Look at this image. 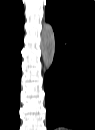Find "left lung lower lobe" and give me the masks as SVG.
<instances>
[{"label":"left lung lower lobe","mask_w":95,"mask_h":130,"mask_svg":"<svg viewBox=\"0 0 95 130\" xmlns=\"http://www.w3.org/2000/svg\"><path fill=\"white\" fill-rule=\"evenodd\" d=\"M55 57L44 78L47 129L95 130V26L52 19Z\"/></svg>","instance_id":"0a47b994"}]
</instances>
